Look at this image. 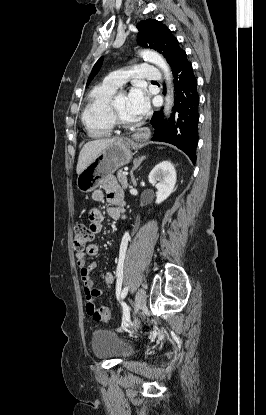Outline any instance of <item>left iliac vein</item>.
<instances>
[{
    "label": "left iliac vein",
    "mask_w": 266,
    "mask_h": 415,
    "mask_svg": "<svg viewBox=\"0 0 266 415\" xmlns=\"http://www.w3.org/2000/svg\"><path fill=\"white\" fill-rule=\"evenodd\" d=\"M146 306V293L143 289H139L134 303V314H137Z\"/></svg>",
    "instance_id": "1"
}]
</instances>
